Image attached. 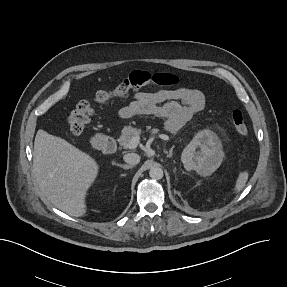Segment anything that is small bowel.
<instances>
[{
	"mask_svg": "<svg viewBox=\"0 0 287 287\" xmlns=\"http://www.w3.org/2000/svg\"><path fill=\"white\" fill-rule=\"evenodd\" d=\"M204 106V94L197 89L138 91L119 113L122 118L135 115H153L163 118L165 127L174 132L180 130Z\"/></svg>",
	"mask_w": 287,
	"mask_h": 287,
	"instance_id": "c3829d8e",
	"label": "small bowel"
}]
</instances>
